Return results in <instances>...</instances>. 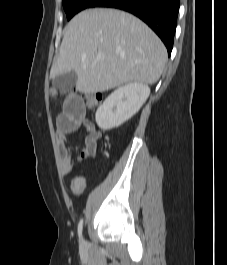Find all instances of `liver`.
Wrapping results in <instances>:
<instances>
[{"instance_id": "liver-1", "label": "liver", "mask_w": 227, "mask_h": 265, "mask_svg": "<svg viewBox=\"0 0 227 265\" xmlns=\"http://www.w3.org/2000/svg\"><path fill=\"white\" fill-rule=\"evenodd\" d=\"M166 62V47L140 19L115 9H91L66 25L50 78L74 71L76 89L93 94L130 82L152 85Z\"/></svg>"}]
</instances>
